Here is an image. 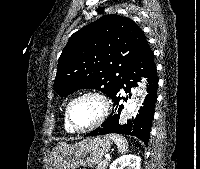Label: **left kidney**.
Instances as JSON below:
<instances>
[{
    "label": "left kidney",
    "instance_id": "left-kidney-1",
    "mask_svg": "<svg viewBox=\"0 0 200 169\" xmlns=\"http://www.w3.org/2000/svg\"><path fill=\"white\" fill-rule=\"evenodd\" d=\"M140 162L139 156L128 154L112 162L109 169H123L124 167H127V169H140Z\"/></svg>",
    "mask_w": 200,
    "mask_h": 169
}]
</instances>
